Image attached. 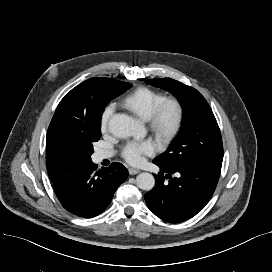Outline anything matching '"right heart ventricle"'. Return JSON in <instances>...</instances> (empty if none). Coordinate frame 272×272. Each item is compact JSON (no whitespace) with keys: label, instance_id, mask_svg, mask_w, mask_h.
I'll return each mask as SVG.
<instances>
[{"label":"right heart ventricle","instance_id":"obj_1","mask_svg":"<svg viewBox=\"0 0 272 272\" xmlns=\"http://www.w3.org/2000/svg\"><path fill=\"white\" fill-rule=\"evenodd\" d=\"M164 95L154 89L140 87L124 99V105L144 120H148Z\"/></svg>","mask_w":272,"mask_h":272}]
</instances>
